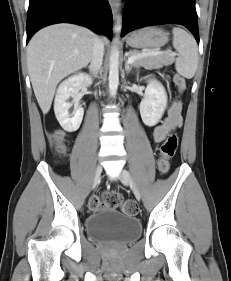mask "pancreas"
<instances>
[{
  "mask_svg": "<svg viewBox=\"0 0 231 281\" xmlns=\"http://www.w3.org/2000/svg\"><path fill=\"white\" fill-rule=\"evenodd\" d=\"M141 54V52L137 50H131L129 51V56H135ZM175 58L174 56L167 54V53H162L160 55L156 56H148V57H143L140 59H137L134 63V67H144L146 69H160L163 66L170 65L174 62Z\"/></svg>",
  "mask_w": 231,
  "mask_h": 281,
  "instance_id": "cf45deb5",
  "label": "pancreas"
}]
</instances>
